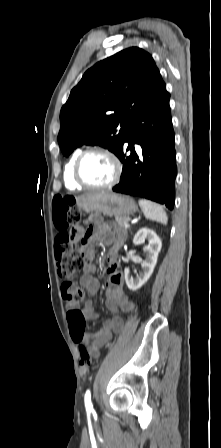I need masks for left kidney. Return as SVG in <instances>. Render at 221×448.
Instances as JSON below:
<instances>
[{"label":"left kidney","mask_w":221,"mask_h":448,"mask_svg":"<svg viewBox=\"0 0 221 448\" xmlns=\"http://www.w3.org/2000/svg\"><path fill=\"white\" fill-rule=\"evenodd\" d=\"M145 240H148L149 245L146 248V260L142 263V273H140V275H138L136 278H133L130 275V271L128 268H125L124 270L127 287L132 291H136L141 288L150 278L154 271L158 254L162 247V242L158 235L153 230L144 227L135 234L133 243L134 245H138Z\"/></svg>","instance_id":"obj_1"}]
</instances>
